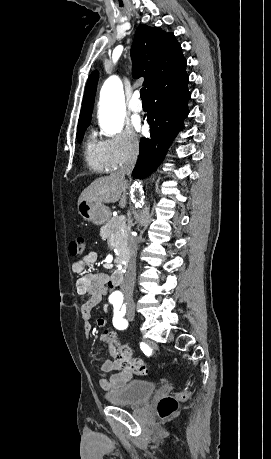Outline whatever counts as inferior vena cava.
Wrapping results in <instances>:
<instances>
[{"label": "inferior vena cava", "mask_w": 271, "mask_h": 459, "mask_svg": "<svg viewBox=\"0 0 271 459\" xmlns=\"http://www.w3.org/2000/svg\"><path fill=\"white\" fill-rule=\"evenodd\" d=\"M134 166L135 160H130V162H126V164L120 168L119 172L120 174H127V176H130ZM128 275L129 273H126V277L122 283V289L125 293L126 299H128V297H132L134 289V279H129Z\"/></svg>", "instance_id": "obj_1"}]
</instances>
